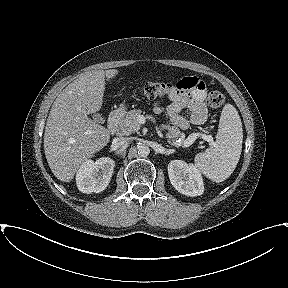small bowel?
Here are the masks:
<instances>
[{"instance_id":"small-bowel-1","label":"small bowel","mask_w":288,"mask_h":288,"mask_svg":"<svg viewBox=\"0 0 288 288\" xmlns=\"http://www.w3.org/2000/svg\"><path fill=\"white\" fill-rule=\"evenodd\" d=\"M177 84L180 88L169 96L171 102L166 108L172 123L182 130L187 129L190 124L204 123L207 118L204 103L207 92L204 82L196 77H184ZM153 110L160 114L164 107L156 102ZM183 110L188 112V118L181 114Z\"/></svg>"}]
</instances>
